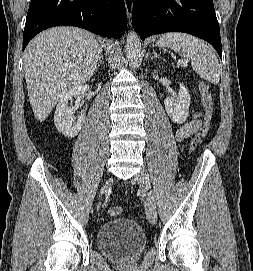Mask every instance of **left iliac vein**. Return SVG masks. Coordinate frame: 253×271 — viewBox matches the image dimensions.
<instances>
[{
	"label": "left iliac vein",
	"mask_w": 253,
	"mask_h": 271,
	"mask_svg": "<svg viewBox=\"0 0 253 271\" xmlns=\"http://www.w3.org/2000/svg\"><path fill=\"white\" fill-rule=\"evenodd\" d=\"M135 179L138 181L140 185V189L144 199L147 218L151 224H156L157 210L155 201L150 191L151 185L147 171L145 169H141L139 173L135 176Z\"/></svg>",
	"instance_id": "left-iliac-vein-1"
}]
</instances>
